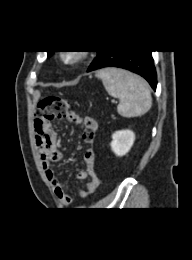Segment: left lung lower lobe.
I'll return each instance as SVG.
<instances>
[{
    "label": "left lung lower lobe",
    "instance_id": "1",
    "mask_svg": "<svg viewBox=\"0 0 192 260\" xmlns=\"http://www.w3.org/2000/svg\"><path fill=\"white\" fill-rule=\"evenodd\" d=\"M150 50L99 51L88 68V72L104 67H119L135 72L144 77L155 90L157 75Z\"/></svg>",
    "mask_w": 192,
    "mask_h": 260
}]
</instances>
